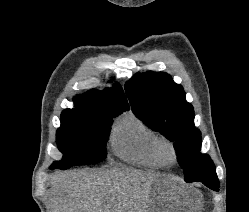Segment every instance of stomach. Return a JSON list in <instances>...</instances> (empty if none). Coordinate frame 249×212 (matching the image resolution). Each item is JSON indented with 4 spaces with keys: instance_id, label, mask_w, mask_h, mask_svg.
I'll return each instance as SVG.
<instances>
[{
    "instance_id": "0dacf381",
    "label": "stomach",
    "mask_w": 249,
    "mask_h": 212,
    "mask_svg": "<svg viewBox=\"0 0 249 212\" xmlns=\"http://www.w3.org/2000/svg\"><path fill=\"white\" fill-rule=\"evenodd\" d=\"M151 212H201L203 196L178 175H157L151 190Z\"/></svg>"
}]
</instances>
